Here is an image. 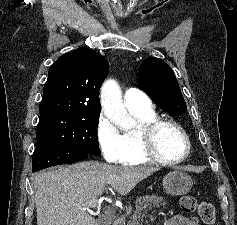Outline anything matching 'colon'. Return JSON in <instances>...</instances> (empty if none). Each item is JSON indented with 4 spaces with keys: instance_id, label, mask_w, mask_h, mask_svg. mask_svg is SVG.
<instances>
[{
    "instance_id": "colon-1",
    "label": "colon",
    "mask_w": 237,
    "mask_h": 225,
    "mask_svg": "<svg viewBox=\"0 0 237 225\" xmlns=\"http://www.w3.org/2000/svg\"><path fill=\"white\" fill-rule=\"evenodd\" d=\"M181 209L185 213L197 212L200 219L207 225H213L216 221V212L214 206L209 202H199L196 197L186 195L181 198Z\"/></svg>"
}]
</instances>
